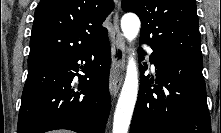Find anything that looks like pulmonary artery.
I'll list each match as a JSON object with an SVG mask.
<instances>
[{
  "label": "pulmonary artery",
  "instance_id": "pulmonary-artery-1",
  "mask_svg": "<svg viewBox=\"0 0 221 133\" xmlns=\"http://www.w3.org/2000/svg\"><path fill=\"white\" fill-rule=\"evenodd\" d=\"M147 49V52L149 53V55L152 54V49L151 48H146Z\"/></svg>",
  "mask_w": 221,
  "mask_h": 133
}]
</instances>
